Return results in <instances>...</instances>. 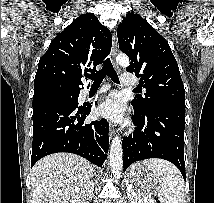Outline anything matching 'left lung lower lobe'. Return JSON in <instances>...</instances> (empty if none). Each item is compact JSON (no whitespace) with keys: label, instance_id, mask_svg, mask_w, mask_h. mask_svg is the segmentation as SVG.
<instances>
[{"label":"left lung lower lobe","instance_id":"left-lung-lower-lobe-1","mask_svg":"<svg viewBox=\"0 0 214 203\" xmlns=\"http://www.w3.org/2000/svg\"><path fill=\"white\" fill-rule=\"evenodd\" d=\"M136 125L132 136L124 137L123 170L148 158L170 161L186 179L184 162L185 108L158 106L141 114L134 111Z\"/></svg>","mask_w":214,"mask_h":203}]
</instances>
